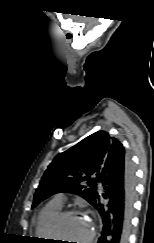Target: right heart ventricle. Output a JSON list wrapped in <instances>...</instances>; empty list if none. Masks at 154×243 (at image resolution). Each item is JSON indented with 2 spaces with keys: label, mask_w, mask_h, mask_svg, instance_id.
Returning <instances> with one entry per match:
<instances>
[{
  "label": "right heart ventricle",
  "mask_w": 154,
  "mask_h": 243,
  "mask_svg": "<svg viewBox=\"0 0 154 243\" xmlns=\"http://www.w3.org/2000/svg\"><path fill=\"white\" fill-rule=\"evenodd\" d=\"M62 210V205L51 201L39 213L36 222V235L42 239H51L50 223L52 219Z\"/></svg>",
  "instance_id": "1"
}]
</instances>
